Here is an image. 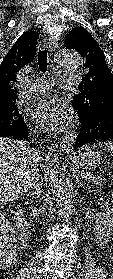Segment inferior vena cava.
<instances>
[{
	"mask_svg": "<svg viewBox=\"0 0 113 279\" xmlns=\"http://www.w3.org/2000/svg\"><path fill=\"white\" fill-rule=\"evenodd\" d=\"M37 183V177L33 180V184Z\"/></svg>",
	"mask_w": 113,
	"mask_h": 279,
	"instance_id": "1",
	"label": "inferior vena cava"
}]
</instances>
